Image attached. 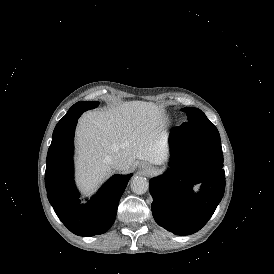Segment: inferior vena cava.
<instances>
[{"label": "inferior vena cava", "instance_id": "obj_1", "mask_svg": "<svg viewBox=\"0 0 274 274\" xmlns=\"http://www.w3.org/2000/svg\"><path fill=\"white\" fill-rule=\"evenodd\" d=\"M104 161L108 163L113 169H123V164L117 157L113 158L111 156H107L105 157Z\"/></svg>", "mask_w": 274, "mask_h": 274}]
</instances>
